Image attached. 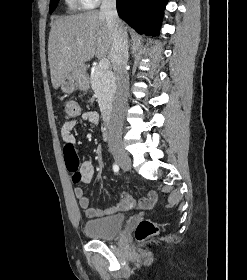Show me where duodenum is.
<instances>
[{"label": "duodenum", "instance_id": "duodenum-1", "mask_svg": "<svg viewBox=\"0 0 247 280\" xmlns=\"http://www.w3.org/2000/svg\"><path fill=\"white\" fill-rule=\"evenodd\" d=\"M102 117L105 123L110 124L112 120V110L110 108H106L102 112Z\"/></svg>", "mask_w": 247, "mask_h": 280}]
</instances>
